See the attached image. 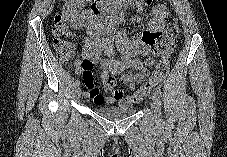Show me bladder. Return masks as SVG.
<instances>
[{"label": "bladder", "mask_w": 227, "mask_h": 157, "mask_svg": "<svg viewBox=\"0 0 227 157\" xmlns=\"http://www.w3.org/2000/svg\"><path fill=\"white\" fill-rule=\"evenodd\" d=\"M95 113L107 120H119L132 116L135 113L133 108H123L117 106L99 107Z\"/></svg>", "instance_id": "bladder-1"}]
</instances>
